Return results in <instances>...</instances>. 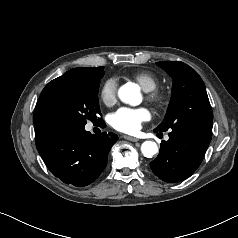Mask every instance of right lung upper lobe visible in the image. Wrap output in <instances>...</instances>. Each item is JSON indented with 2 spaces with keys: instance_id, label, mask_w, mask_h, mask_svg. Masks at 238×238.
I'll return each mask as SVG.
<instances>
[{
  "instance_id": "obj_1",
  "label": "right lung upper lobe",
  "mask_w": 238,
  "mask_h": 238,
  "mask_svg": "<svg viewBox=\"0 0 238 238\" xmlns=\"http://www.w3.org/2000/svg\"><path fill=\"white\" fill-rule=\"evenodd\" d=\"M90 67H78L70 70V72H89ZM52 99L50 94V83H48L43 89L39 100L36 104L34 112V125L35 129L45 128L54 125V120L52 118Z\"/></svg>"
}]
</instances>
